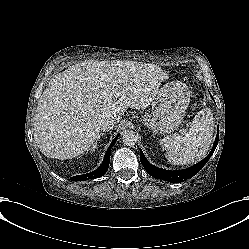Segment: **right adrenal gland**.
Returning a JSON list of instances; mask_svg holds the SVG:
<instances>
[{"label":"right adrenal gland","instance_id":"obj_1","mask_svg":"<svg viewBox=\"0 0 249 249\" xmlns=\"http://www.w3.org/2000/svg\"><path fill=\"white\" fill-rule=\"evenodd\" d=\"M104 133H101L100 136H103ZM100 138V137H99ZM98 141H101V140H98ZM98 147V144L97 142L95 143L94 147L92 148L93 150L92 151H95V149Z\"/></svg>","mask_w":249,"mask_h":249}]
</instances>
